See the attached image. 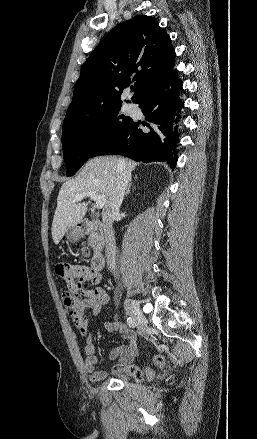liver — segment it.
Segmentation results:
<instances>
[{
	"mask_svg": "<svg viewBox=\"0 0 257 439\" xmlns=\"http://www.w3.org/2000/svg\"><path fill=\"white\" fill-rule=\"evenodd\" d=\"M123 160L127 171L131 173L136 163L117 157H97L89 160L80 173L71 180L64 182L57 197V207L52 222V238L58 244L64 234L82 221L87 212L88 203H76L77 194L96 191L108 200L115 187L119 169L118 161Z\"/></svg>",
	"mask_w": 257,
	"mask_h": 439,
	"instance_id": "obj_1",
	"label": "liver"
}]
</instances>
